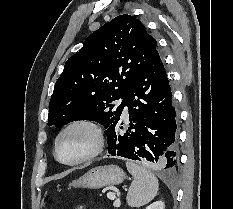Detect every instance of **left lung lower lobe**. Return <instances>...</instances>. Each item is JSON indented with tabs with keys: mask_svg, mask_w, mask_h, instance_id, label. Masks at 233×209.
Segmentation results:
<instances>
[{
	"mask_svg": "<svg viewBox=\"0 0 233 209\" xmlns=\"http://www.w3.org/2000/svg\"><path fill=\"white\" fill-rule=\"evenodd\" d=\"M124 106L128 107L129 127L123 131L121 119L108 127V153L172 170L178 160L177 115L158 51L133 81Z\"/></svg>",
	"mask_w": 233,
	"mask_h": 209,
	"instance_id": "obj_1",
	"label": "left lung lower lobe"
}]
</instances>
